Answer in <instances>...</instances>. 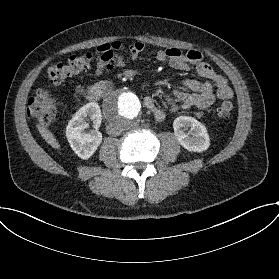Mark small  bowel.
<instances>
[{
  "label": "small bowel",
  "mask_w": 279,
  "mask_h": 279,
  "mask_svg": "<svg viewBox=\"0 0 279 279\" xmlns=\"http://www.w3.org/2000/svg\"><path fill=\"white\" fill-rule=\"evenodd\" d=\"M122 44L119 41L104 43L97 47L93 56V76L94 78L103 77L116 68H126L128 61L121 54ZM146 51L142 43L133 44L130 49V57L137 60ZM155 59L159 62H169L178 70H189L195 67L199 76L204 81L186 79L181 81L179 88H172L164 95L167 111L177 113L184 109H206L216 98L229 99L232 97V89L225 77L217 74L212 67L203 60V55L198 50H182L171 47L158 50ZM144 86H149V82H144ZM145 108L153 117L161 121L166 117V110L158 106L154 99L147 96L143 100Z\"/></svg>",
  "instance_id": "obj_1"
}]
</instances>
